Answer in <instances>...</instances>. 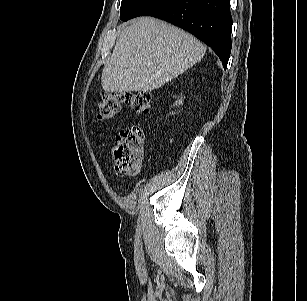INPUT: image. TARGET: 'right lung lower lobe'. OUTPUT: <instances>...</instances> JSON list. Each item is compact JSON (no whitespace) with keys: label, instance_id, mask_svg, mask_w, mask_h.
<instances>
[{"label":"right lung lower lobe","instance_id":"right-lung-lower-lobe-1","mask_svg":"<svg viewBox=\"0 0 307 301\" xmlns=\"http://www.w3.org/2000/svg\"><path fill=\"white\" fill-rule=\"evenodd\" d=\"M139 16H154L192 33L214 50L226 69L232 46L230 0H161Z\"/></svg>","mask_w":307,"mask_h":301}]
</instances>
